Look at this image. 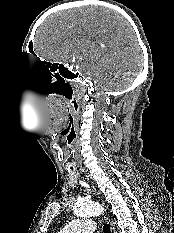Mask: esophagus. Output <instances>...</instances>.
<instances>
[{
	"label": "esophagus",
	"instance_id": "34e87169",
	"mask_svg": "<svg viewBox=\"0 0 174 233\" xmlns=\"http://www.w3.org/2000/svg\"><path fill=\"white\" fill-rule=\"evenodd\" d=\"M106 220H107L108 223L110 224V232H111V233H116L112 221H111L108 217L106 218Z\"/></svg>",
	"mask_w": 174,
	"mask_h": 233
}]
</instances>
